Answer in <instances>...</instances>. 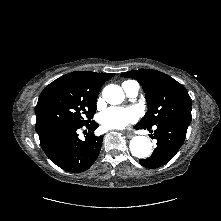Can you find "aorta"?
I'll return each mask as SVG.
<instances>
[{
  "label": "aorta",
  "mask_w": 221,
  "mask_h": 221,
  "mask_svg": "<svg viewBox=\"0 0 221 221\" xmlns=\"http://www.w3.org/2000/svg\"><path fill=\"white\" fill-rule=\"evenodd\" d=\"M104 100L109 104H120L124 98L122 88L115 84L107 85L102 92ZM130 151L137 158H146L152 152V143L145 136H135L130 141Z\"/></svg>",
  "instance_id": "obj_1"
}]
</instances>
